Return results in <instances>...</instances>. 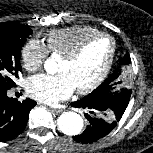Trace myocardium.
<instances>
[{
    "label": "myocardium",
    "instance_id": "1",
    "mask_svg": "<svg viewBox=\"0 0 153 153\" xmlns=\"http://www.w3.org/2000/svg\"><path fill=\"white\" fill-rule=\"evenodd\" d=\"M99 38H106L110 41L111 43V51H110V55L109 58L103 68V70L101 71V73L99 74V76L93 81L91 82L89 85L82 87V88H75V91L79 94H88L92 91H94L96 88H98L103 81L106 79V77L108 76L114 59H115V55H116V42L114 40V38L112 36H110L107 33H97L94 35H91L87 38H85L83 41H81L72 51H70L69 53L65 54L64 56H62V58L68 62H73L75 61L81 54L82 52L85 50V48L94 40L99 39Z\"/></svg>",
    "mask_w": 153,
    "mask_h": 153
}]
</instances>
